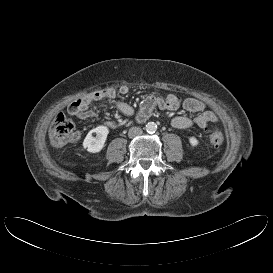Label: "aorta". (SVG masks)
<instances>
[{
    "mask_svg": "<svg viewBox=\"0 0 273 273\" xmlns=\"http://www.w3.org/2000/svg\"><path fill=\"white\" fill-rule=\"evenodd\" d=\"M157 130V125L154 122H148L146 124V131L148 133H154Z\"/></svg>",
    "mask_w": 273,
    "mask_h": 273,
    "instance_id": "762f6f07",
    "label": "aorta"
}]
</instances>
